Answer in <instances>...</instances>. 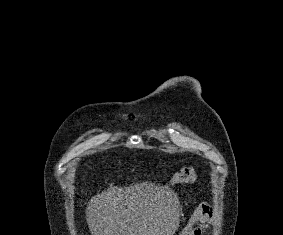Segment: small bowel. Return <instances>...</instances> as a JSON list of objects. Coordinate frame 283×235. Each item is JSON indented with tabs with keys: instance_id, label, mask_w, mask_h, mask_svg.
<instances>
[{
	"instance_id": "small-bowel-1",
	"label": "small bowel",
	"mask_w": 283,
	"mask_h": 235,
	"mask_svg": "<svg viewBox=\"0 0 283 235\" xmlns=\"http://www.w3.org/2000/svg\"><path fill=\"white\" fill-rule=\"evenodd\" d=\"M212 217L213 211L209 205H199L192 213L188 224V233H182L181 235H205ZM194 224H199V226L192 229Z\"/></svg>"
}]
</instances>
